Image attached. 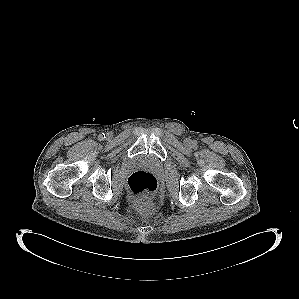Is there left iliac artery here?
<instances>
[{
  "instance_id": "44dca946",
  "label": "left iliac artery",
  "mask_w": 299,
  "mask_h": 299,
  "mask_svg": "<svg viewBox=\"0 0 299 299\" xmlns=\"http://www.w3.org/2000/svg\"><path fill=\"white\" fill-rule=\"evenodd\" d=\"M196 144H197V143H196L195 141H193V146H196Z\"/></svg>"
}]
</instances>
